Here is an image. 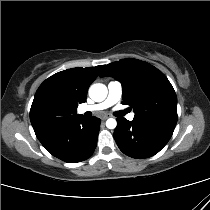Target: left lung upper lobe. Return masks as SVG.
Listing matches in <instances>:
<instances>
[{
    "instance_id": "5c2ea615",
    "label": "left lung upper lobe",
    "mask_w": 210,
    "mask_h": 210,
    "mask_svg": "<svg viewBox=\"0 0 210 210\" xmlns=\"http://www.w3.org/2000/svg\"><path fill=\"white\" fill-rule=\"evenodd\" d=\"M101 77L111 76L122 84L123 104L134 107L136 121L177 123V97L166 76L137 59L103 65Z\"/></svg>"
}]
</instances>
